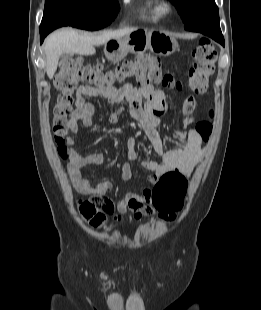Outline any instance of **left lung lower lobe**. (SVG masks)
<instances>
[{
    "instance_id": "left-lung-lower-lobe-1",
    "label": "left lung lower lobe",
    "mask_w": 261,
    "mask_h": 310,
    "mask_svg": "<svg viewBox=\"0 0 261 310\" xmlns=\"http://www.w3.org/2000/svg\"><path fill=\"white\" fill-rule=\"evenodd\" d=\"M186 30L189 31H195L203 33L215 41L219 42L220 44L224 45V38L220 30V26L218 23L211 21V20H205L200 23L191 24Z\"/></svg>"
}]
</instances>
